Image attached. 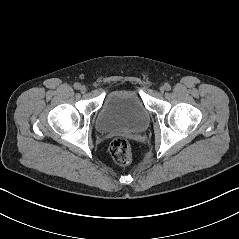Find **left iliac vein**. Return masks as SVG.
I'll return each instance as SVG.
<instances>
[{
  "label": "left iliac vein",
  "instance_id": "4c4485c4",
  "mask_svg": "<svg viewBox=\"0 0 239 239\" xmlns=\"http://www.w3.org/2000/svg\"><path fill=\"white\" fill-rule=\"evenodd\" d=\"M166 90L165 86L160 87V92L163 93Z\"/></svg>",
  "mask_w": 239,
  "mask_h": 239
}]
</instances>
